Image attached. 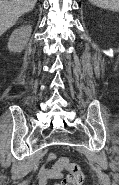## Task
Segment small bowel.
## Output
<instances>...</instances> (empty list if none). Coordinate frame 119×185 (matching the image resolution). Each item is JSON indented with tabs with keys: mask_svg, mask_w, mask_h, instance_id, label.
<instances>
[{
	"mask_svg": "<svg viewBox=\"0 0 119 185\" xmlns=\"http://www.w3.org/2000/svg\"><path fill=\"white\" fill-rule=\"evenodd\" d=\"M63 177L62 168L58 161L55 159V154L51 152L49 154L47 164L41 168L38 173V184L46 185L50 179H61ZM57 185V184H55Z\"/></svg>",
	"mask_w": 119,
	"mask_h": 185,
	"instance_id": "small-bowel-1",
	"label": "small bowel"
}]
</instances>
